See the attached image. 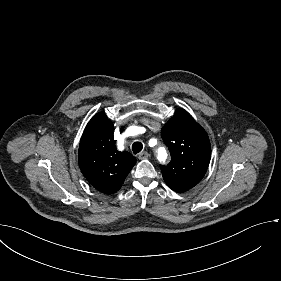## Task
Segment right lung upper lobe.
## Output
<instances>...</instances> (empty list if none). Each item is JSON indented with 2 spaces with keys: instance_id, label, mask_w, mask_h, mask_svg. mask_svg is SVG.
<instances>
[{
  "instance_id": "1",
  "label": "right lung upper lobe",
  "mask_w": 281,
  "mask_h": 281,
  "mask_svg": "<svg viewBox=\"0 0 281 281\" xmlns=\"http://www.w3.org/2000/svg\"><path fill=\"white\" fill-rule=\"evenodd\" d=\"M112 122L97 113L87 124L79 146V166L88 182L100 192H117L136 163L130 153L115 147Z\"/></svg>"
}]
</instances>
